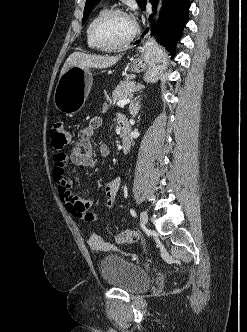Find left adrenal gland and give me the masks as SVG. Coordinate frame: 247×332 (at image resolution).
<instances>
[{"label":"left adrenal gland","instance_id":"a2214340","mask_svg":"<svg viewBox=\"0 0 247 332\" xmlns=\"http://www.w3.org/2000/svg\"><path fill=\"white\" fill-rule=\"evenodd\" d=\"M140 101H141V96H138V97H136V98L134 99V101H132L131 104H130V107H129V109H130V114H131V116H132L133 118L138 114V112H139V110H140V108H141Z\"/></svg>","mask_w":247,"mask_h":332}]
</instances>
